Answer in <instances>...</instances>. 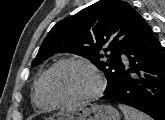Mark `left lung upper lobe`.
<instances>
[{
  "mask_svg": "<svg viewBox=\"0 0 165 120\" xmlns=\"http://www.w3.org/2000/svg\"><path fill=\"white\" fill-rule=\"evenodd\" d=\"M145 24L129 3L100 0L59 21L44 39L32 66L59 52L80 55L104 72L109 93L119 85L121 55ZM102 49L108 55L101 54Z\"/></svg>",
  "mask_w": 165,
  "mask_h": 120,
  "instance_id": "left-lung-upper-lobe-1",
  "label": "left lung upper lobe"
}]
</instances>
